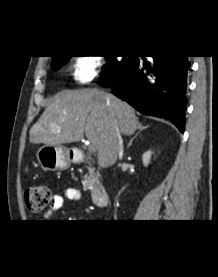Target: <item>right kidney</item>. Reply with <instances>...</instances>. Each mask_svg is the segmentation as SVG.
<instances>
[{
    "mask_svg": "<svg viewBox=\"0 0 218 277\" xmlns=\"http://www.w3.org/2000/svg\"><path fill=\"white\" fill-rule=\"evenodd\" d=\"M151 151H147L143 154L142 156V162L144 166H148V164L150 163V159H151Z\"/></svg>",
    "mask_w": 218,
    "mask_h": 277,
    "instance_id": "ca27d5eb",
    "label": "right kidney"
}]
</instances>
